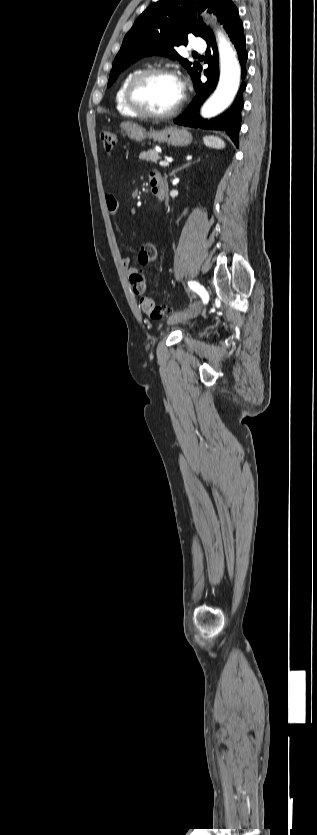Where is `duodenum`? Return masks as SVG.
Returning a JSON list of instances; mask_svg holds the SVG:
<instances>
[{
    "mask_svg": "<svg viewBox=\"0 0 317 835\" xmlns=\"http://www.w3.org/2000/svg\"><path fill=\"white\" fill-rule=\"evenodd\" d=\"M150 185H151V191H152L153 195L157 199L162 200L164 198V194H165L164 185L157 180L151 181Z\"/></svg>",
    "mask_w": 317,
    "mask_h": 835,
    "instance_id": "obj_1",
    "label": "duodenum"
}]
</instances>
